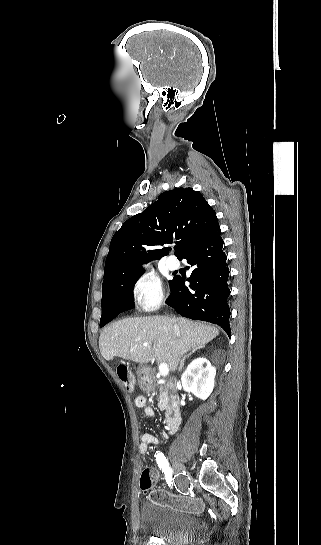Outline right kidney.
Returning <instances> with one entry per match:
<instances>
[{"instance_id":"obj_1","label":"right kidney","mask_w":321,"mask_h":545,"mask_svg":"<svg viewBox=\"0 0 321 545\" xmlns=\"http://www.w3.org/2000/svg\"><path fill=\"white\" fill-rule=\"evenodd\" d=\"M215 367L204 359L198 357L188 365L181 377V383L186 393H193L198 399H208L214 389Z\"/></svg>"}]
</instances>
